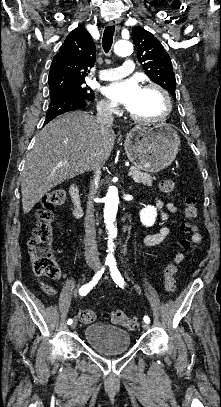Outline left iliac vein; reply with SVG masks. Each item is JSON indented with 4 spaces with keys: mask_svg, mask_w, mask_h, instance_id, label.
<instances>
[{
    "mask_svg": "<svg viewBox=\"0 0 221 407\" xmlns=\"http://www.w3.org/2000/svg\"><path fill=\"white\" fill-rule=\"evenodd\" d=\"M142 328H143L144 330H148V329H150V325H149L148 323H146V322H143V323H142Z\"/></svg>",
    "mask_w": 221,
    "mask_h": 407,
    "instance_id": "1",
    "label": "left iliac vein"
}]
</instances>
